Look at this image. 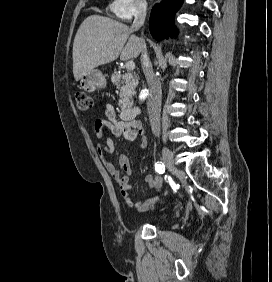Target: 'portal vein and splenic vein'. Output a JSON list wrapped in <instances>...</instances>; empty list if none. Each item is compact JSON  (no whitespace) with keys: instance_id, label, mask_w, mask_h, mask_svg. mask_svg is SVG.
Segmentation results:
<instances>
[{"instance_id":"18ae733b","label":"portal vein and splenic vein","mask_w":272,"mask_h":282,"mask_svg":"<svg viewBox=\"0 0 272 282\" xmlns=\"http://www.w3.org/2000/svg\"><path fill=\"white\" fill-rule=\"evenodd\" d=\"M125 66H126V69L128 70L135 69V63L133 61H128Z\"/></svg>"}]
</instances>
